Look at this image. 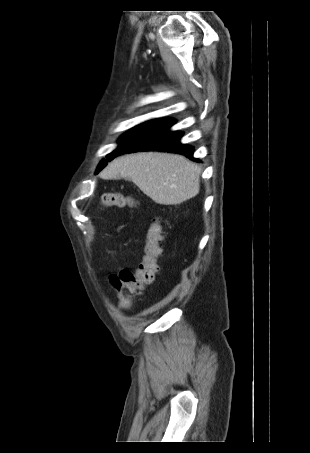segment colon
<instances>
[{
  "instance_id": "1",
  "label": "colon",
  "mask_w": 310,
  "mask_h": 453,
  "mask_svg": "<svg viewBox=\"0 0 310 453\" xmlns=\"http://www.w3.org/2000/svg\"><path fill=\"white\" fill-rule=\"evenodd\" d=\"M103 207H134L137 205L135 198L124 196L121 193H106L101 197ZM163 240L162 225L154 219L147 233L143 260L135 270L124 269L118 276L111 278L119 298V306L130 309L133 305L134 294L154 281L158 271V258L161 255V242Z\"/></svg>"
}]
</instances>
